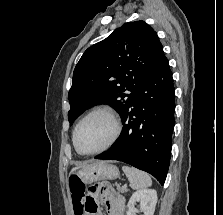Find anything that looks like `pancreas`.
Returning <instances> with one entry per match:
<instances>
[{
  "instance_id": "1",
  "label": "pancreas",
  "mask_w": 223,
  "mask_h": 215,
  "mask_svg": "<svg viewBox=\"0 0 223 215\" xmlns=\"http://www.w3.org/2000/svg\"><path fill=\"white\" fill-rule=\"evenodd\" d=\"M117 189H118V191H122V193H123V191H127V189H123L122 187H121V185H117Z\"/></svg>"
}]
</instances>
